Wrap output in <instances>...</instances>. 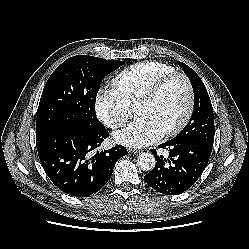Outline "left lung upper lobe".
Returning a JSON list of instances; mask_svg holds the SVG:
<instances>
[{"label":"left lung upper lobe","mask_w":249,"mask_h":249,"mask_svg":"<svg viewBox=\"0 0 249 249\" xmlns=\"http://www.w3.org/2000/svg\"><path fill=\"white\" fill-rule=\"evenodd\" d=\"M188 76L194 91V111L189 123L175 137L179 142L194 141L213 147L214 115L208 92L197 73L185 63L178 62Z\"/></svg>","instance_id":"5c2ea615"}]
</instances>
